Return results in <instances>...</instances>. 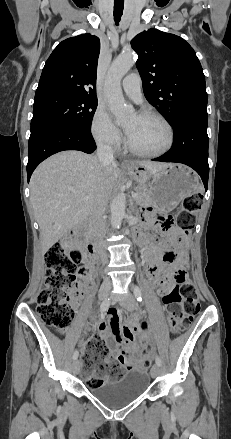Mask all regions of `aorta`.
I'll use <instances>...</instances> for the list:
<instances>
[{
    "mask_svg": "<svg viewBox=\"0 0 231 439\" xmlns=\"http://www.w3.org/2000/svg\"><path fill=\"white\" fill-rule=\"evenodd\" d=\"M135 63L134 52H126L119 55L111 64L104 85V95L109 104L111 113L118 123L125 122L134 114L132 106L126 104L122 89L121 80ZM126 196L119 193L114 197L110 205L111 224L119 229L125 215Z\"/></svg>",
    "mask_w": 231,
    "mask_h": 439,
    "instance_id": "aorta-1",
    "label": "aorta"
}]
</instances>
